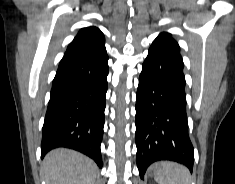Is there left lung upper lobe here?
<instances>
[{
	"label": "left lung upper lobe",
	"instance_id": "1",
	"mask_svg": "<svg viewBox=\"0 0 235 184\" xmlns=\"http://www.w3.org/2000/svg\"><path fill=\"white\" fill-rule=\"evenodd\" d=\"M164 34H168V33H161L160 35H164ZM160 35H159V36H160Z\"/></svg>",
	"mask_w": 235,
	"mask_h": 184
}]
</instances>
